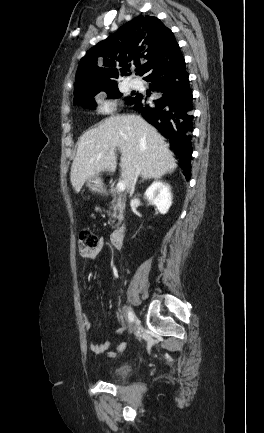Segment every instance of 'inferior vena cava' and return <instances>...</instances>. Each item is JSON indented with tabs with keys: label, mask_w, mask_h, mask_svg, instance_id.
Masks as SVG:
<instances>
[{
	"label": "inferior vena cava",
	"mask_w": 264,
	"mask_h": 433,
	"mask_svg": "<svg viewBox=\"0 0 264 433\" xmlns=\"http://www.w3.org/2000/svg\"><path fill=\"white\" fill-rule=\"evenodd\" d=\"M139 174H140V169L137 168V170H136V172L134 173V176H133V178H132V181H131V187H130L131 190H130V195H132V194L134 193V190H135V184H136V181H137V178H138Z\"/></svg>",
	"instance_id": "obj_1"
}]
</instances>
